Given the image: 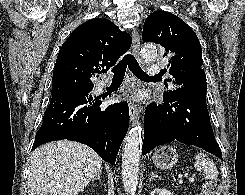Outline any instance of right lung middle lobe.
I'll return each mask as SVG.
<instances>
[{
  "label": "right lung middle lobe",
  "instance_id": "obj_1",
  "mask_svg": "<svg viewBox=\"0 0 245 195\" xmlns=\"http://www.w3.org/2000/svg\"><path fill=\"white\" fill-rule=\"evenodd\" d=\"M81 90H82V89L66 91V92H63V93H60V94H57V95H52V97L58 96V95H61V94H73V93H78V92H80Z\"/></svg>",
  "mask_w": 245,
  "mask_h": 195
}]
</instances>
